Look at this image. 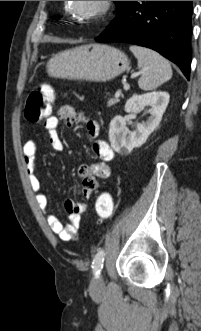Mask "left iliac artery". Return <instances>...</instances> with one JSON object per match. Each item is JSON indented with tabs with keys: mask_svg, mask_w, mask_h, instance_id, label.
Returning <instances> with one entry per match:
<instances>
[{
	"mask_svg": "<svg viewBox=\"0 0 201 331\" xmlns=\"http://www.w3.org/2000/svg\"><path fill=\"white\" fill-rule=\"evenodd\" d=\"M104 250L100 249L98 253L95 255L94 260L92 262V269L93 273L96 277L100 274L102 268H103V262H104Z\"/></svg>",
	"mask_w": 201,
	"mask_h": 331,
	"instance_id": "1",
	"label": "left iliac artery"
}]
</instances>
